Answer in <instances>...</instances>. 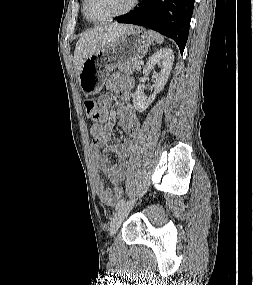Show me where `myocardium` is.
Segmentation results:
<instances>
[{
	"mask_svg": "<svg viewBox=\"0 0 253 285\" xmlns=\"http://www.w3.org/2000/svg\"><path fill=\"white\" fill-rule=\"evenodd\" d=\"M138 2H139V0H131L128 7L125 8L124 10H122L118 13L103 17V18H98V19L91 18L88 15L87 10H86L87 0H83L82 9H83V13H84L87 20H89L90 22L99 23V22H105V21H109V20L118 18L120 16H123V15L131 12L137 6Z\"/></svg>",
	"mask_w": 253,
	"mask_h": 285,
	"instance_id": "myocardium-1",
	"label": "myocardium"
}]
</instances>
